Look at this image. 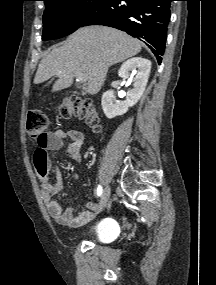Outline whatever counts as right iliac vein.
<instances>
[{
  "mask_svg": "<svg viewBox=\"0 0 216 285\" xmlns=\"http://www.w3.org/2000/svg\"><path fill=\"white\" fill-rule=\"evenodd\" d=\"M109 197H110V187L105 186V188L103 189V192H102L101 200H100V208L101 209L106 206V204L109 200Z\"/></svg>",
  "mask_w": 216,
  "mask_h": 285,
  "instance_id": "1",
  "label": "right iliac vein"
}]
</instances>
